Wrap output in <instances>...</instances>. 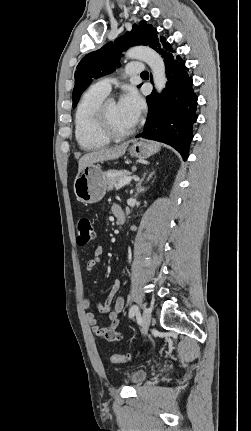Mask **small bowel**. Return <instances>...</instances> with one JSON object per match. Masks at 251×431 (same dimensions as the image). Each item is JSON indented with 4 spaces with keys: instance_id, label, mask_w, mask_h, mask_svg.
I'll return each mask as SVG.
<instances>
[{
    "instance_id": "obj_1",
    "label": "small bowel",
    "mask_w": 251,
    "mask_h": 431,
    "mask_svg": "<svg viewBox=\"0 0 251 431\" xmlns=\"http://www.w3.org/2000/svg\"><path fill=\"white\" fill-rule=\"evenodd\" d=\"M119 211H123L122 208L118 205H115L113 207L114 215H116V213ZM102 254L103 248L98 246L94 251V258L89 260L86 264L87 272H92L100 265ZM119 287L120 281L115 280L106 300L96 303L98 311L102 314L108 315L110 321L108 326H100L98 324L95 314L90 311L92 307V301L88 298H83L82 300V307L86 310L85 319L90 325L92 333L101 339L111 342L119 341L123 338L122 333L117 330L121 325L119 315L124 308L123 297H116V292L118 291Z\"/></svg>"
}]
</instances>
